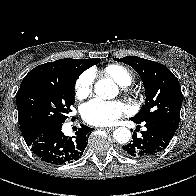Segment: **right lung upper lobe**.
Wrapping results in <instances>:
<instances>
[{
    "mask_svg": "<svg viewBox=\"0 0 196 196\" xmlns=\"http://www.w3.org/2000/svg\"><path fill=\"white\" fill-rule=\"evenodd\" d=\"M100 60L98 58L94 59H72V58H65L59 59L54 62H48L42 65L37 66L33 70H31L26 76H30L45 70L51 69H71L77 72L79 75L88 69L89 67L98 64Z\"/></svg>",
    "mask_w": 196,
    "mask_h": 196,
    "instance_id": "1",
    "label": "right lung upper lobe"
}]
</instances>
